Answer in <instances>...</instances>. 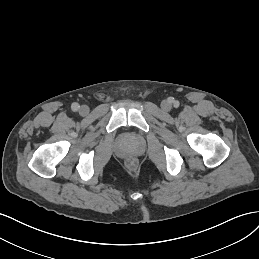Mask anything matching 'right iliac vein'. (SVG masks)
<instances>
[{"label":"right iliac vein","instance_id":"1","mask_svg":"<svg viewBox=\"0 0 259 259\" xmlns=\"http://www.w3.org/2000/svg\"><path fill=\"white\" fill-rule=\"evenodd\" d=\"M79 113L83 116L89 113V107L87 105H82L79 109Z\"/></svg>","mask_w":259,"mask_h":259}]
</instances>
